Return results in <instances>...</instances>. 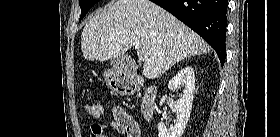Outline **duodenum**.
Returning a JSON list of instances; mask_svg holds the SVG:
<instances>
[{
    "label": "duodenum",
    "instance_id": "obj_1",
    "mask_svg": "<svg viewBox=\"0 0 280 137\" xmlns=\"http://www.w3.org/2000/svg\"><path fill=\"white\" fill-rule=\"evenodd\" d=\"M157 92L158 91L156 87H149L145 90L142 96L140 111L144 119L151 120L154 116V104L157 97Z\"/></svg>",
    "mask_w": 280,
    "mask_h": 137
}]
</instances>
